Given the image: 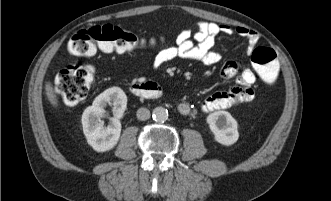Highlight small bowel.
<instances>
[{
  "label": "small bowel",
  "mask_w": 331,
  "mask_h": 201,
  "mask_svg": "<svg viewBox=\"0 0 331 201\" xmlns=\"http://www.w3.org/2000/svg\"><path fill=\"white\" fill-rule=\"evenodd\" d=\"M220 34H237L246 39L248 51H252L259 42V35L254 30L244 27L233 29L228 25L200 21L194 33L190 29L182 30L177 35L173 46L161 48L155 54L152 66L158 69L165 63L178 58L199 61L204 65L217 64L221 60V55L214 51L213 47ZM220 74L224 79L235 78L236 84L228 90L218 91L207 97L201 105V111L204 113L248 102L254 97L252 85L256 81V75L252 67L246 66L239 71L238 64L229 60L222 66ZM176 107L183 116H193L197 112L193 105L186 102H178Z\"/></svg>",
  "instance_id": "1"
}]
</instances>
